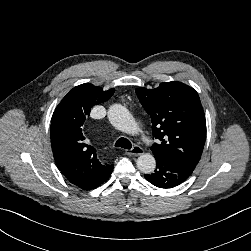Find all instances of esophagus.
Listing matches in <instances>:
<instances>
[{
  "label": "esophagus",
  "mask_w": 251,
  "mask_h": 251,
  "mask_svg": "<svg viewBox=\"0 0 251 251\" xmlns=\"http://www.w3.org/2000/svg\"><path fill=\"white\" fill-rule=\"evenodd\" d=\"M144 153L143 148H141L138 145H135L132 149L126 150L127 155H132V156H139Z\"/></svg>",
  "instance_id": "34e87169"
}]
</instances>
